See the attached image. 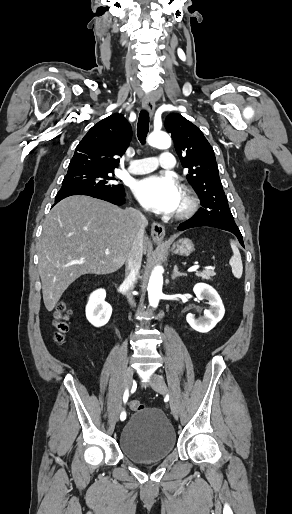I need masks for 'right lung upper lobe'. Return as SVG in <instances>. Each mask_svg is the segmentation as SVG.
Returning <instances> with one entry per match:
<instances>
[{"label":"right lung upper lobe","instance_id":"cb5924a9","mask_svg":"<svg viewBox=\"0 0 292 514\" xmlns=\"http://www.w3.org/2000/svg\"><path fill=\"white\" fill-rule=\"evenodd\" d=\"M131 137V126L122 114L99 121L77 145L68 172H114Z\"/></svg>","mask_w":292,"mask_h":514}]
</instances>
